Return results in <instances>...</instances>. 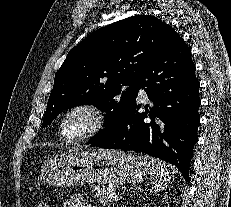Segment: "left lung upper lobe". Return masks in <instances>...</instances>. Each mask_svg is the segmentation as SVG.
Instances as JSON below:
<instances>
[{
    "label": "left lung upper lobe",
    "mask_w": 231,
    "mask_h": 207,
    "mask_svg": "<svg viewBox=\"0 0 231 207\" xmlns=\"http://www.w3.org/2000/svg\"><path fill=\"white\" fill-rule=\"evenodd\" d=\"M178 38L169 24L150 15L132 16L91 33L70 50L55 74L42 128L65 109L91 104L106 112L105 128L91 140L116 131L136 101L145 67Z\"/></svg>",
    "instance_id": "1"
}]
</instances>
